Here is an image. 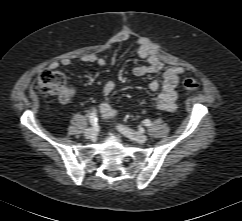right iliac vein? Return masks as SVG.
I'll use <instances>...</instances> for the list:
<instances>
[{
	"instance_id": "obj_1",
	"label": "right iliac vein",
	"mask_w": 242,
	"mask_h": 221,
	"mask_svg": "<svg viewBox=\"0 0 242 221\" xmlns=\"http://www.w3.org/2000/svg\"><path fill=\"white\" fill-rule=\"evenodd\" d=\"M84 135L86 138H95L96 137V130L95 128H88L85 130Z\"/></svg>"
}]
</instances>
